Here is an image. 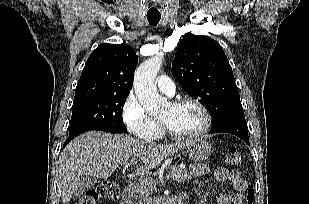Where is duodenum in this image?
<instances>
[{
    "mask_svg": "<svg viewBox=\"0 0 309 204\" xmlns=\"http://www.w3.org/2000/svg\"><path fill=\"white\" fill-rule=\"evenodd\" d=\"M135 188L132 183L127 184L123 190L120 204H132Z\"/></svg>",
    "mask_w": 309,
    "mask_h": 204,
    "instance_id": "duodenum-1",
    "label": "duodenum"
}]
</instances>
